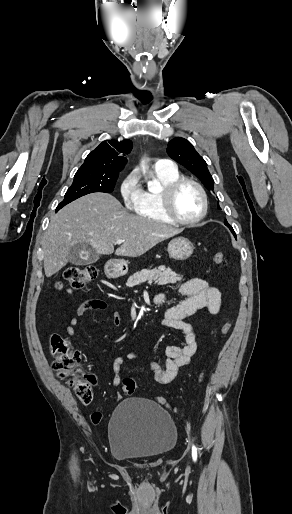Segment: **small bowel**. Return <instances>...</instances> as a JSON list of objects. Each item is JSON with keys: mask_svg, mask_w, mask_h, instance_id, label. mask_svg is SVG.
<instances>
[{"mask_svg": "<svg viewBox=\"0 0 292 514\" xmlns=\"http://www.w3.org/2000/svg\"><path fill=\"white\" fill-rule=\"evenodd\" d=\"M178 291L180 294L184 295L186 299L176 305L166 307L161 324L165 328L182 331L185 334L186 343L184 345L170 344L165 347L166 361L164 366L158 362H148L147 366L153 380L160 385H168L173 382L178 371L188 366L191 358L196 353V332L192 324L186 321V318L203 308L213 317L218 315L221 309L220 291L203 279H188L180 285ZM107 308L108 304L103 299L94 298L85 300L78 306L76 315L70 320L69 325L65 329V333L69 337H76L78 334L77 326L86 313L93 311L102 312L107 310ZM119 323L120 316L116 314L114 324L118 325ZM123 364V357H116L113 361L114 377L112 384L114 386L121 384V369ZM114 396L118 398L120 402L125 400V397L120 391H116Z\"/></svg>", "mask_w": 292, "mask_h": 514, "instance_id": "obj_1", "label": "small bowel"}]
</instances>
